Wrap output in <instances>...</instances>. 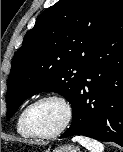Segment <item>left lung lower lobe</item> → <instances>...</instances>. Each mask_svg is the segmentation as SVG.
Here are the masks:
<instances>
[{
  "mask_svg": "<svg viewBox=\"0 0 123 152\" xmlns=\"http://www.w3.org/2000/svg\"><path fill=\"white\" fill-rule=\"evenodd\" d=\"M71 105L72 123L59 138L83 135L123 147V1L86 60Z\"/></svg>",
  "mask_w": 123,
  "mask_h": 152,
  "instance_id": "1",
  "label": "left lung lower lobe"
}]
</instances>
